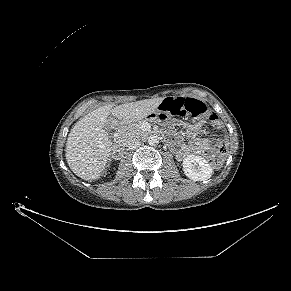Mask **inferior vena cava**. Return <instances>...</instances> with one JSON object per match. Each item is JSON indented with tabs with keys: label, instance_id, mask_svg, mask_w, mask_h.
Returning <instances> with one entry per match:
<instances>
[{
	"label": "inferior vena cava",
	"instance_id": "602c4592",
	"mask_svg": "<svg viewBox=\"0 0 291 291\" xmlns=\"http://www.w3.org/2000/svg\"><path fill=\"white\" fill-rule=\"evenodd\" d=\"M139 146H140V141L136 137H130L126 141V148L129 151L134 150V149L138 148Z\"/></svg>",
	"mask_w": 291,
	"mask_h": 291
}]
</instances>
